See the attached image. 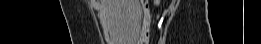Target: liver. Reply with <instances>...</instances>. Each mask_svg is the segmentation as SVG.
Returning a JSON list of instances; mask_svg holds the SVG:
<instances>
[{"label": "liver", "instance_id": "liver-1", "mask_svg": "<svg viewBox=\"0 0 261 44\" xmlns=\"http://www.w3.org/2000/svg\"><path fill=\"white\" fill-rule=\"evenodd\" d=\"M106 3L110 36L119 44H134L141 28L139 0H103Z\"/></svg>", "mask_w": 261, "mask_h": 44}]
</instances>
